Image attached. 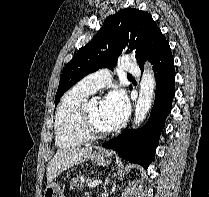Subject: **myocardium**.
<instances>
[{
	"label": "myocardium",
	"mask_w": 209,
	"mask_h": 197,
	"mask_svg": "<svg viewBox=\"0 0 209 197\" xmlns=\"http://www.w3.org/2000/svg\"><path fill=\"white\" fill-rule=\"evenodd\" d=\"M90 103V100L83 103L76 119L77 131L87 141L102 139L112 132V129L100 131L94 128L89 115Z\"/></svg>",
	"instance_id": "f54148a6"
}]
</instances>
